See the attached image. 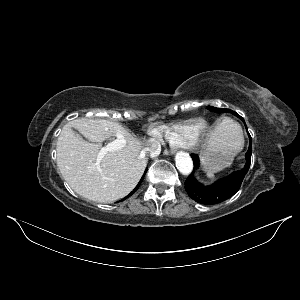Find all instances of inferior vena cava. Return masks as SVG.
I'll use <instances>...</instances> for the list:
<instances>
[{
  "instance_id": "obj_1",
  "label": "inferior vena cava",
  "mask_w": 300,
  "mask_h": 300,
  "mask_svg": "<svg viewBox=\"0 0 300 300\" xmlns=\"http://www.w3.org/2000/svg\"><path fill=\"white\" fill-rule=\"evenodd\" d=\"M160 151H161L160 143L158 141H150L147 144V148L143 149L139 153V157L145 158L146 152L150 153L152 157H156L160 154Z\"/></svg>"
}]
</instances>
